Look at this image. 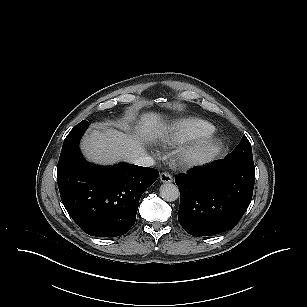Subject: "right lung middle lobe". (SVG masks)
<instances>
[{
    "mask_svg": "<svg viewBox=\"0 0 307 307\" xmlns=\"http://www.w3.org/2000/svg\"><path fill=\"white\" fill-rule=\"evenodd\" d=\"M88 125L89 124L87 121L85 120L81 121L70 131V133L65 138L64 143L73 138L81 137L84 134L85 130L87 129Z\"/></svg>",
    "mask_w": 307,
    "mask_h": 307,
    "instance_id": "obj_1",
    "label": "right lung middle lobe"
}]
</instances>
